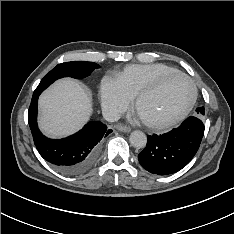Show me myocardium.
Instances as JSON below:
<instances>
[{
	"label": "myocardium",
	"mask_w": 234,
	"mask_h": 234,
	"mask_svg": "<svg viewBox=\"0 0 234 234\" xmlns=\"http://www.w3.org/2000/svg\"><path fill=\"white\" fill-rule=\"evenodd\" d=\"M173 77H182V78L186 79L191 84L192 97H191L189 103L187 104V106L180 113H178L177 115H175L173 117L152 121V120H146L139 115L141 117L142 121L144 122V124L152 129H164V128H168V127H171V126L179 123L190 113V111L193 109V107L196 103V100L198 97V90H197V86H196L194 80L189 75H187L181 71H176V72H171V73H167V74L162 75L161 77L156 79L154 82H152L150 85L146 86L145 88H143L142 90H140L137 93V95L135 96V100H134V107H135L136 112L139 114V105L145 97L154 93L166 81H168L169 79H171Z\"/></svg>",
	"instance_id": "1"
}]
</instances>
